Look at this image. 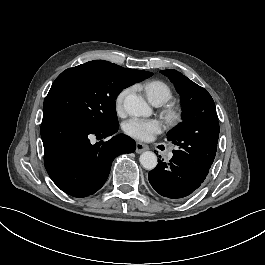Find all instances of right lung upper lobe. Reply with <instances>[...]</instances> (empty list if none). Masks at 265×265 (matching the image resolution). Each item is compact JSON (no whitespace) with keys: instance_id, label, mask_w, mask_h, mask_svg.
<instances>
[{"instance_id":"right-lung-upper-lobe-1","label":"right lung upper lobe","mask_w":265,"mask_h":265,"mask_svg":"<svg viewBox=\"0 0 265 265\" xmlns=\"http://www.w3.org/2000/svg\"><path fill=\"white\" fill-rule=\"evenodd\" d=\"M144 72H146V71H144ZM152 75V73L151 72H146V78H148V77H150Z\"/></svg>"}]
</instances>
